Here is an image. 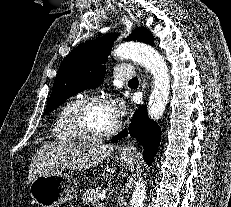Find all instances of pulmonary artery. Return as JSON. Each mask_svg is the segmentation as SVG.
<instances>
[{
  "instance_id": "obj_1",
  "label": "pulmonary artery",
  "mask_w": 231,
  "mask_h": 207,
  "mask_svg": "<svg viewBox=\"0 0 231 207\" xmlns=\"http://www.w3.org/2000/svg\"><path fill=\"white\" fill-rule=\"evenodd\" d=\"M114 77L118 80H130L135 78V71L131 65L121 64L116 66Z\"/></svg>"
}]
</instances>
